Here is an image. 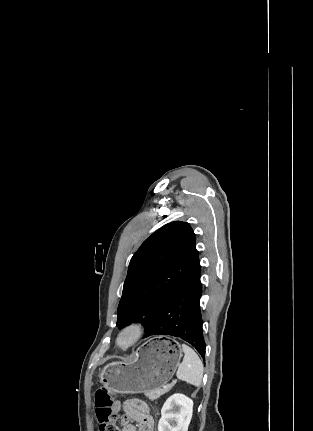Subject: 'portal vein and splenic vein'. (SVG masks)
<instances>
[{
	"mask_svg": "<svg viewBox=\"0 0 313 431\" xmlns=\"http://www.w3.org/2000/svg\"><path fill=\"white\" fill-rule=\"evenodd\" d=\"M172 383H176V380L174 379V380L172 381Z\"/></svg>",
	"mask_w": 313,
	"mask_h": 431,
	"instance_id": "1",
	"label": "portal vein and splenic vein"
}]
</instances>
